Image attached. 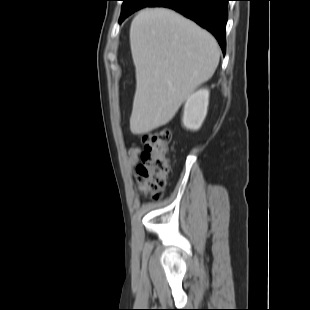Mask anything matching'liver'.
<instances>
[{
  "instance_id": "6515ba94",
  "label": "liver",
  "mask_w": 310,
  "mask_h": 310,
  "mask_svg": "<svg viewBox=\"0 0 310 310\" xmlns=\"http://www.w3.org/2000/svg\"><path fill=\"white\" fill-rule=\"evenodd\" d=\"M130 47L136 69L133 134L166 125L190 93L213 76L220 59L210 33L165 8L144 9L134 17Z\"/></svg>"
}]
</instances>
